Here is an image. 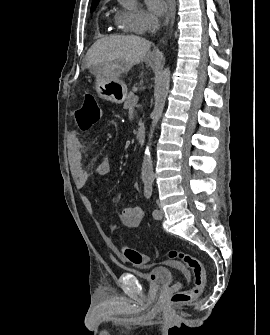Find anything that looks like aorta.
<instances>
[{
    "mask_svg": "<svg viewBox=\"0 0 270 335\" xmlns=\"http://www.w3.org/2000/svg\"><path fill=\"white\" fill-rule=\"evenodd\" d=\"M170 76L171 74L169 68H165V70H163L161 74H158V78L156 80V88L154 90V110L151 114L152 124L141 168V175L143 181H152V179H154L150 146H152L151 142L153 138V132L163 114L167 94L169 92Z\"/></svg>",
    "mask_w": 270,
    "mask_h": 335,
    "instance_id": "1",
    "label": "aorta"
}]
</instances>
